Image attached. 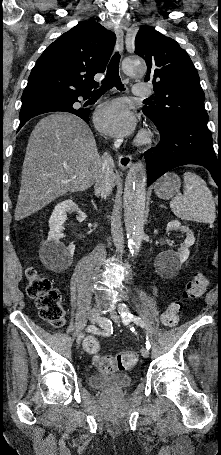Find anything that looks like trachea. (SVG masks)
<instances>
[{"label":"trachea","mask_w":221,"mask_h":455,"mask_svg":"<svg viewBox=\"0 0 221 455\" xmlns=\"http://www.w3.org/2000/svg\"><path fill=\"white\" fill-rule=\"evenodd\" d=\"M120 54L116 52L111 58L105 79L102 81V86L95 93H104L115 86L118 90H124V85L119 76Z\"/></svg>","instance_id":"1"}]
</instances>
